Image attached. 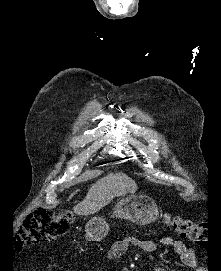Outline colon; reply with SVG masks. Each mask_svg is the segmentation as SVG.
Segmentation results:
<instances>
[{
  "label": "colon",
  "mask_w": 221,
  "mask_h": 271,
  "mask_svg": "<svg viewBox=\"0 0 221 271\" xmlns=\"http://www.w3.org/2000/svg\"><path fill=\"white\" fill-rule=\"evenodd\" d=\"M165 222L181 237L204 246L209 242L207 227L189 218L165 215ZM71 224V214L65 212L57 217L48 207H39L30 212L18 230L15 244L19 250L40 242H50L65 234Z\"/></svg>",
  "instance_id": "1"
}]
</instances>
